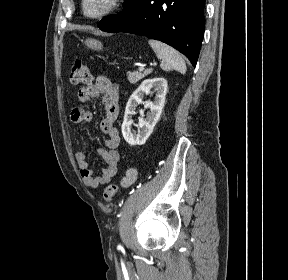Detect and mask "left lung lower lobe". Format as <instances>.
<instances>
[{
  "mask_svg": "<svg viewBox=\"0 0 288 280\" xmlns=\"http://www.w3.org/2000/svg\"><path fill=\"white\" fill-rule=\"evenodd\" d=\"M205 0H134L123 11L103 18L106 32H128L160 40L196 66L204 35Z\"/></svg>",
  "mask_w": 288,
  "mask_h": 280,
  "instance_id": "obj_1",
  "label": "left lung lower lobe"
}]
</instances>
